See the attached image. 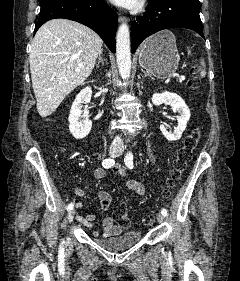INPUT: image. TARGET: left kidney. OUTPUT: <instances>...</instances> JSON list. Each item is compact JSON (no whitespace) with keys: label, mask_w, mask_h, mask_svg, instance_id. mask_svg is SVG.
I'll return each instance as SVG.
<instances>
[{"label":"left kidney","mask_w":240,"mask_h":281,"mask_svg":"<svg viewBox=\"0 0 240 281\" xmlns=\"http://www.w3.org/2000/svg\"><path fill=\"white\" fill-rule=\"evenodd\" d=\"M152 103L159 106L163 103H168L174 112H178L177 127L173 132H168L164 125H160V130L168 141H176L181 138L183 131L190 119V110L185 101L177 94L170 92L155 93L152 96Z\"/></svg>","instance_id":"obj_1"}]
</instances>
